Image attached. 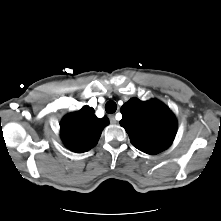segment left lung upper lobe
I'll use <instances>...</instances> for the list:
<instances>
[{
	"mask_svg": "<svg viewBox=\"0 0 221 221\" xmlns=\"http://www.w3.org/2000/svg\"><path fill=\"white\" fill-rule=\"evenodd\" d=\"M120 121L134 147L147 154L167 149L176 135L177 122L170 109L157 100L132 98L121 107Z\"/></svg>",
	"mask_w": 221,
	"mask_h": 221,
	"instance_id": "5c2ea615",
	"label": "left lung upper lobe"
}]
</instances>
